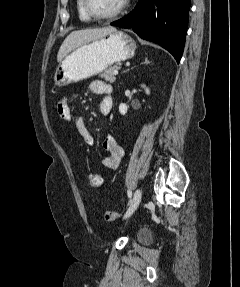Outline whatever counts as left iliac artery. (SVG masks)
<instances>
[{
    "instance_id": "1",
    "label": "left iliac artery",
    "mask_w": 240,
    "mask_h": 287,
    "mask_svg": "<svg viewBox=\"0 0 240 287\" xmlns=\"http://www.w3.org/2000/svg\"><path fill=\"white\" fill-rule=\"evenodd\" d=\"M131 196H132V192L131 190H128V197L131 198Z\"/></svg>"
}]
</instances>
